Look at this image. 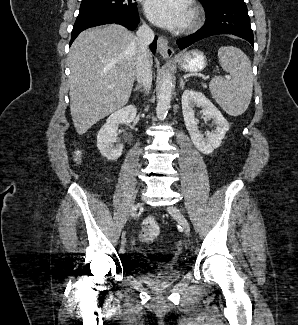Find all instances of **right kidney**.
<instances>
[{"label":"right kidney","mask_w":298,"mask_h":325,"mask_svg":"<svg viewBox=\"0 0 298 325\" xmlns=\"http://www.w3.org/2000/svg\"><path fill=\"white\" fill-rule=\"evenodd\" d=\"M137 114V108L135 104H128V106H124V108H119L116 112H112L110 116H108L105 124L101 126L98 134H97V146L103 154L106 156L108 160H115V158H119L122 154L123 144H115V142H119L117 140L118 136V124L123 122V124H129L134 120Z\"/></svg>","instance_id":"1"}]
</instances>
